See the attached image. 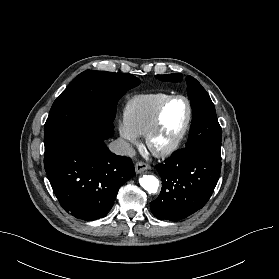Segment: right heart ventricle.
<instances>
[{
  "label": "right heart ventricle",
  "instance_id": "right-heart-ventricle-1",
  "mask_svg": "<svg viewBox=\"0 0 279 279\" xmlns=\"http://www.w3.org/2000/svg\"><path fill=\"white\" fill-rule=\"evenodd\" d=\"M171 95L157 92L132 97L125 107V122L138 135L146 134L160 105Z\"/></svg>",
  "mask_w": 279,
  "mask_h": 279
}]
</instances>
